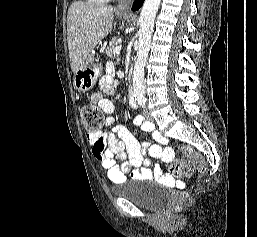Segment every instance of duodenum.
<instances>
[{
	"instance_id": "410a0bca",
	"label": "duodenum",
	"mask_w": 257,
	"mask_h": 237,
	"mask_svg": "<svg viewBox=\"0 0 257 237\" xmlns=\"http://www.w3.org/2000/svg\"><path fill=\"white\" fill-rule=\"evenodd\" d=\"M128 99H129V102H130L131 106L136 105L134 90H133L132 87L128 88Z\"/></svg>"
}]
</instances>
